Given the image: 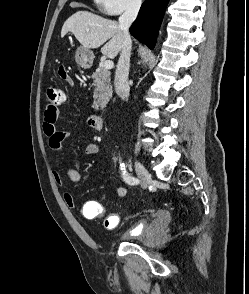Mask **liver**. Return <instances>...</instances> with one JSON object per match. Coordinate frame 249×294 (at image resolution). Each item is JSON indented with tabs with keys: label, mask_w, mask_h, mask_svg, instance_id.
<instances>
[{
	"label": "liver",
	"mask_w": 249,
	"mask_h": 294,
	"mask_svg": "<svg viewBox=\"0 0 249 294\" xmlns=\"http://www.w3.org/2000/svg\"><path fill=\"white\" fill-rule=\"evenodd\" d=\"M68 32L89 49L98 48L109 40L101 52L110 58H115L122 48L123 37L118 23L88 11H78L65 21L61 37Z\"/></svg>",
	"instance_id": "obj_1"
}]
</instances>
